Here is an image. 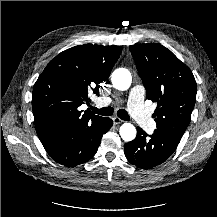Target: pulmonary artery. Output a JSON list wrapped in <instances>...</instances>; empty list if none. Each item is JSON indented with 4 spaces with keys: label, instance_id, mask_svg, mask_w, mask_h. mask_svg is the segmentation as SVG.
<instances>
[{
    "label": "pulmonary artery",
    "instance_id": "pulmonary-artery-1",
    "mask_svg": "<svg viewBox=\"0 0 217 217\" xmlns=\"http://www.w3.org/2000/svg\"><path fill=\"white\" fill-rule=\"evenodd\" d=\"M102 103L107 105L112 99L109 97L102 98ZM128 108L131 116L136 122L146 130H151L154 126V121L144 105V89L141 86H135L131 89L128 97Z\"/></svg>",
    "mask_w": 217,
    "mask_h": 217
}]
</instances>
